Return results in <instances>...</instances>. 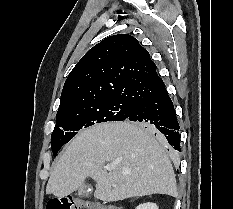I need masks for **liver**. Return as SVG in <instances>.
<instances>
[{
    "label": "liver",
    "instance_id": "1",
    "mask_svg": "<svg viewBox=\"0 0 233 209\" xmlns=\"http://www.w3.org/2000/svg\"><path fill=\"white\" fill-rule=\"evenodd\" d=\"M153 133L129 121L79 132L58 159L46 194L62 198L90 177L96 182L94 198L103 202L152 194L177 197L171 161ZM108 164L113 170L105 168Z\"/></svg>",
    "mask_w": 233,
    "mask_h": 209
}]
</instances>
